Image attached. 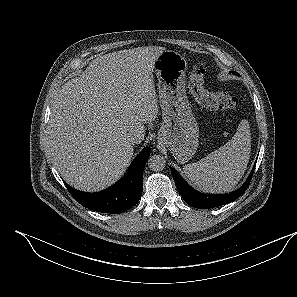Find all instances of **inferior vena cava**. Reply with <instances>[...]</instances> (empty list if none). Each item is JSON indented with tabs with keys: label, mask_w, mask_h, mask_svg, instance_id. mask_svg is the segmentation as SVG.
I'll return each mask as SVG.
<instances>
[{
	"label": "inferior vena cava",
	"mask_w": 297,
	"mask_h": 297,
	"mask_svg": "<svg viewBox=\"0 0 297 297\" xmlns=\"http://www.w3.org/2000/svg\"><path fill=\"white\" fill-rule=\"evenodd\" d=\"M142 136L137 133H131L128 135V141L133 145V144H138L142 141Z\"/></svg>",
	"instance_id": "602c4592"
}]
</instances>
